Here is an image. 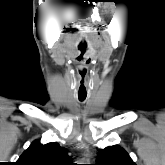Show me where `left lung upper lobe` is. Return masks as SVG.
Wrapping results in <instances>:
<instances>
[{
    "label": "left lung upper lobe",
    "mask_w": 165,
    "mask_h": 165,
    "mask_svg": "<svg viewBox=\"0 0 165 165\" xmlns=\"http://www.w3.org/2000/svg\"><path fill=\"white\" fill-rule=\"evenodd\" d=\"M95 165H136L128 153L121 147L114 145L100 149Z\"/></svg>",
    "instance_id": "5c2ea615"
}]
</instances>
